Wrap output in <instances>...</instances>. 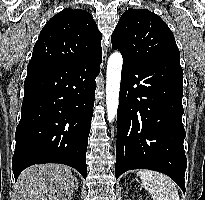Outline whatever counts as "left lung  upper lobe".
<instances>
[{
	"mask_svg": "<svg viewBox=\"0 0 205 200\" xmlns=\"http://www.w3.org/2000/svg\"><path fill=\"white\" fill-rule=\"evenodd\" d=\"M111 42L113 49L120 51L123 60L132 63L180 57L172 31L159 16L146 9L125 11Z\"/></svg>",
	"mask_w": 205,
	"mask_h": 200,
	"instance_id": "obj_1",
	"label": "left lung upper lobe"
}]
</instances>
